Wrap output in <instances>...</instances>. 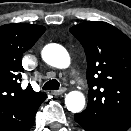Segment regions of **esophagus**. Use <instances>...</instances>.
<instances>
[{"mask_svg": "<svg viewBox=\"0 0 131 131\" xmlns=\"http://www.w3.org/2000/svg\"><path fill=\"white\" fill-rule=\"evenodd\" d=\"M64 92H65V89L62 88L60 90L52 91V94L55 95V96H59V95H62Z\"/></svg>", "mask_w": 131, "mask_h": 131, "instance_id": "34e87169", "label": "esophagus"}]
</instances>
